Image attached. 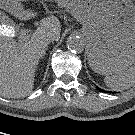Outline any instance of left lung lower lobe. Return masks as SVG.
Listing matches in <instances>:
<instances>
[{"label": "left lung lower lobe", "mask_w": 135, "mask_h": 135, "mask_svg": "<svg viewBox=\"0 0 135 135\" xmlns=\"http://www.w3.org/2000/svg\"><path fill=\"white\" fill-rule=\"evenodd\" d=\"M98 89H99V88H98ZM99 90H100V91H103V90H101V89H99ZM104 92H105V91H104ZM107 92H110V91H106V93H107Z\"/></svg>", "instance_id": "1"}]
</instances>
